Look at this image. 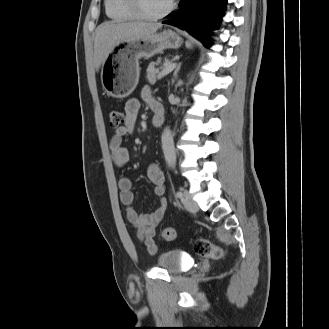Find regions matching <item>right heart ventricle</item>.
Masks as SVG:
<instances>
[{
    "label": "right heart ventricle",
    "mask_w": 329,
    "mask_h": 329,
    "mask_svg": "<svg viewBox=\"0 0 329 329\" xmlns=\"http://www.w3.org/2000/svg\"><path fill=\"white\" fill-rule=\"evenodd\" d=\"M104 3L107 16L113 20L127 21L136 18L125 0H105Z\"/></svg>",
    "instance_id": "1"
}]
</instances>
